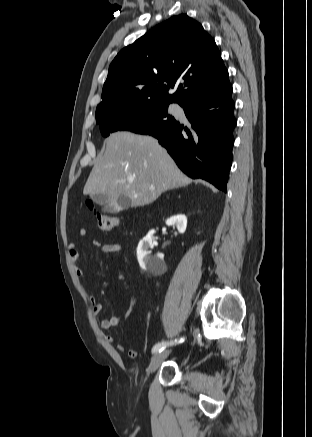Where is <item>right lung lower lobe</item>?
I'll return each mask as SVG.
<instances>
[{
  "label": "right lung lower lobe",
  "mask_w": 312,
  "mask_h": 437,
  "mask_svg": "<svg viewBox=\"0 0 312 437\" xmlns=\"http://www.w3.org/2000/svg\"><path fill=\"white\" fill-rule=\"evenodd\" d=\"M228 74L212 88L198 93L181 106L191 128L175 122L149 135L158 139L178 167L191 178H202L226 192L232 163L236 119Z\"/></svg>",
  "instance_id": "right-lung-lower-lobe-1"
}]
</instances>
